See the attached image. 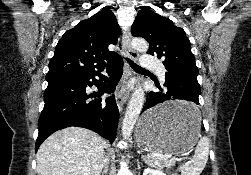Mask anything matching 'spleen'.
Masks as SVG:
<instances>
[{
    "label": "spleen",
    "instance_id": "3e777b00",
    "mask_svg": "<svg viewBox=\"0 0 251 175\" xmlns=\"http://www.w3.org/2000/svg\"><path fill=\"white\" fill-rule=\"evenodd\" d=\"M193 115L195 119H199V117L201 119L200 111H197V109H194ZM208 155L209 139L206 135H204V137H200L191 161L182 165V175H200L207 163Z\"/></svg>",
    "mask_w": 251,
    "mask_h": 175
}]
</instances>
